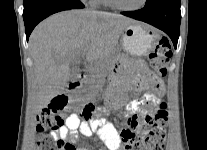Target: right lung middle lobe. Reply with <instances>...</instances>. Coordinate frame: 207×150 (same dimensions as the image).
<instances>
[{
    "label": "right lung middle lobe",
    "instance_id": "obj_1",
    "mask_svg": "<svg viewBox=\"0 0 207 150\" xmlns=\"http://www.w3.org/2000/svg\"><path fill=\"white\" fill-rule=\"evenodd\" d=\"M29 0H24L23 3H27Z\"/></svg>",
    "mask_w": 207,
    "mask_h": 150
}]
</instances>
